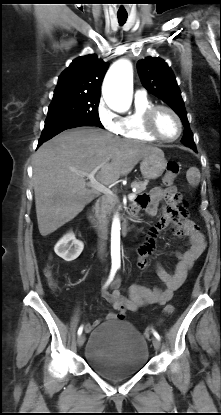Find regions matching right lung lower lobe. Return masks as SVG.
<instances>
[{"mask_svg":"<svg viewBox=\"0 0 221 415\" xmlns=\"http://www.w3.org/2000/svg\"><path fill=\"white\" fill-rule=\"evenodd\" d=\"M79 126H95V125L84 120H76V119H51V120L46 119L44 129L38 141V147L41 144H43L45 141L59 134L60 132L70 129V128L79 127Z\"/></svg>","mask_w":221,"mask_h":415,"instance_id":"98d812e1","label":"right lung lower lobe"}]
</instances>
